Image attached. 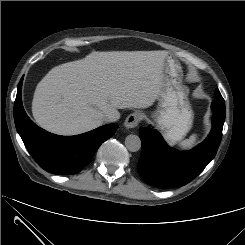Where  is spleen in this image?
Segmentation results:
<instances>
[{"label": "spleen", "mask_w": 245, "mask_h": 245, "mask_svg": "<svg viewBox=\"0 0 245 245\" xmlns=\"http://www.w3.org/2000/svg\"><path fill=\"white\" fill-rule=\"evenodd\" d=\"M198 144V135L193 134L188 139L183 140L178 144V147L182 150H190Z\"/></svg>", "instance_id": "3e777b00"}]
</instances>
